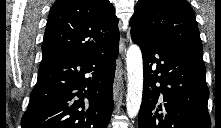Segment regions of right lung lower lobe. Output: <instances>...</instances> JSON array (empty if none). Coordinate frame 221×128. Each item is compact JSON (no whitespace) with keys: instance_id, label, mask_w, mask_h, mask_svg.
Wrapping results in <instances>:
<instances>
[{"instance_id":"1","label":"right lung lower lobe","mask_w":221,"mask_h":128,"mask_svg":"<svg viewBox=\"0 0 221 128\" xmlns=\"http://www.w3.org/2000/svg\"><path fill=\"white\" fill-rule=\"evenodd\" d=\"M119 41L41 66L22 128H107Z\"/></svg>"}]
</instances>
